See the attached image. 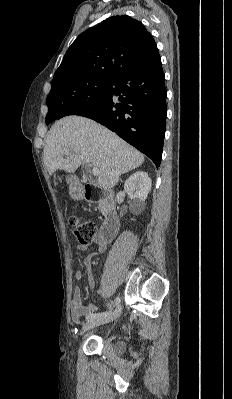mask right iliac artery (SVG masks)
<instances>
[{
  "label": "right iliac artery",
  "mask_w": 232,
  "mask_h": 399,
  "mask_svg": "<svg viewBox=\"0 0 232 399\" xmlns=\"http://www.w3.org/2000/svg\"><path fill=\"white\" fill-rule=\"evenodd\" d=\"M119 303H120V297L117 296V297L115 298V305L117 306ZM110 313H111V311H104V312H102V313H100V314H97V315L88 314V315L86 316V320H87V321H90V320H93L94 318L106 317V316H108Z\"/></svg>",
  "instance_id": "1"
}]
</instances>
